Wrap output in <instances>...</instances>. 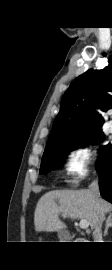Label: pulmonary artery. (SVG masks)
I'll use <instances>...</instances> for the list:
<instances>
[{"instance_id": "e3ab8cb5", "label": "pulmonary artery", "mask_w": 112, "mask_h": 270, "mask_svg": "<svg viewBox=\"0 0 112 270\" xmlns=\"http://www.w3.org/2000/svg\"><path fill=\"white\" fill-rule=\"evenodd\" d=\"M110 131H112V125L110 126Z\"/></svg>"}]
</instances>
